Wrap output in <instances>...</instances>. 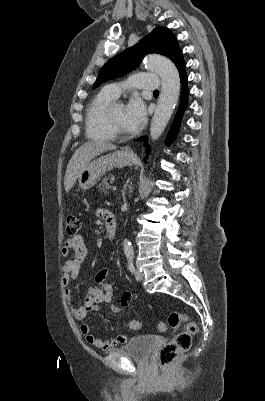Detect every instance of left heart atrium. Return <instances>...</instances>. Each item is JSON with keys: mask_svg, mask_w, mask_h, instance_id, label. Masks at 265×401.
Returning a JSON list of instances; mask_svg holds the SVG:
<instances>
[{"mask_svg": "<svg viewBox=\"0 0 265 401\" xmlns=\"http://www.w3.org/2000/svg\"><path fill=\"white\" fill-rule=\"evenodd\" d=\"M125 121L130 130L139 129L146 120V108L139 97H133L125 108Z\"/></svg>", "mask_w": 265, "mask_h": 401, "instance_id": "1", "label": "left heart atrium"}]
</instances>
